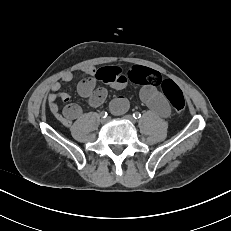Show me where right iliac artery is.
I'll list each match as a JSON object with an SVG mask.
<instances>
[{"instance_id":"82829eb1","label":"right iliac artery","mask_w":231,"mask_h":231,"mask_svg":"<svg viewBox=\"0 0 231 231\" xmlns=\"http://www.w3.org/2000/svg\"><path fill=\"white\" fill-rule=\"evenodd\" d=\"M107 112L106 111H102L101 113H100V116L102 117V118H106L107 117Z\"/></svg>"}]
</instances>
